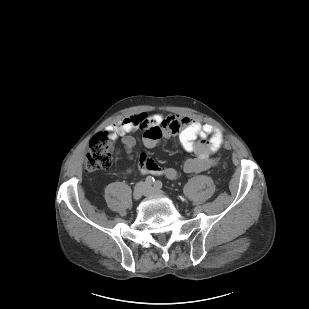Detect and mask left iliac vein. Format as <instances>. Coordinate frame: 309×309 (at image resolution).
I'll return each instance as SVG.
<instances>
[{
    "instance_id": "left-iliac-vein-1",
    "label": "left iliac vein",
    "mask_w": 309,
    "mask_h": 309,
    "mask_svg": "<svg viewBox=\"0 0 309 309\" xmlns=\"http://www.w3.org/2000/svg\"><path fill=\"white\" fill-rule=\"evenodd\" d=\"M147 188H148L147 195H152V194L164 195V193L159 189H154V188H151V187H147Z\"/></svg>"
}]
</instances>
